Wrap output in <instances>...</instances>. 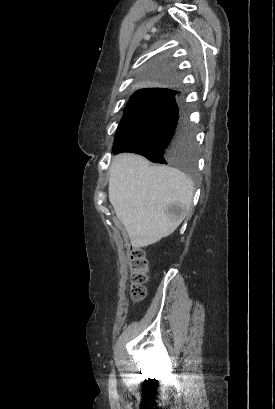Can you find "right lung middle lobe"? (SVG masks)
<instances>
[{
  "label": "right lung middle lobe",
  "mask_w": 275,
  "mask_h": 409,
  "mask_svg": "<svg viewBox=\"0 0 275 409\" xmlns=\"http://www.w3.org/2000/svg\"><path fill=\"white\" fill-rule=\"evenodd\" d=\"M152 63L163 64L164 60L153 59ZM173 63L177 64L178 60L174 59ZM184 76L183 70H174L172 65H155L153 70L143 71L138 87L155 90L157 85H172ZM176 93L165 89L132 95L115 135L113 153L143 155L151 162L178 167L182 177L198 182V149L187 109L178 105Z\"/></svg>",
  "instance_id": "dd1d6c3e"
}]
</instances>
